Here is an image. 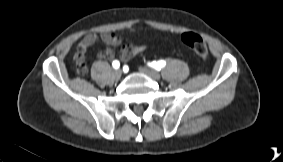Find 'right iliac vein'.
Returning <instances> with one entry per match:
<instances>
[{
    "label": "right iliac vein",
    "mask_w": 283,
    "mask_h": 162,
    "mask_svg": "<svg viewBox=\"0 0 283 162\" xmlns=\"http://www.w3.org/2000/svg\"><path fill=\"white\" fill-rule=\"evenodd\" d=\"M113 74L115 79H120V77L122 76V71L120 69H116Z\"/></svg>",
    "instance_id": "obj_1"
}]
</instances>
